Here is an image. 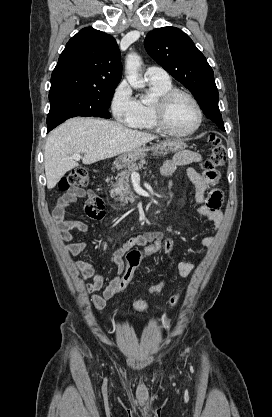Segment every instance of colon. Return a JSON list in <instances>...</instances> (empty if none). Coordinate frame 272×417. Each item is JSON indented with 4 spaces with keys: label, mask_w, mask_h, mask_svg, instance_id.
I'll use <instances>...</instances> for the list:
<instances>
[{
    "label": "colon",
    "mask_w": 272,
    "mask_h": 417,
    "mask_svg": "<svg viewBox=\"0 0 272 417\" xmlns=\"http://www.w3.org/2000/svg\"><path fill=\"white\" fill-rule=\"evenodd\" d=\"M209 142L211 143V154L204 161L203 167L207 171H212L216 167L221 166L226 160V148L222 143L221 139L215 135L209 137ZM89 183V172L85 167H77L73 169L65 178H63L59 187L63 190H67L70 187L83 188L86 187ZM174 248V242L169 237H156L147 241H143L140 244L136 245L126 253V265L124 273L121 276L120 280L116 284L115 293L118 294L125 290V288L132 281L134 274L140 264L147 258L158 254H170ZM171 271V265H168L164 271L163 276L153 283L149 288V293L156 295L162 291L165 286L167 277ZM180 292L173 295L170 300L172 307L177 306L180 300ZM133 307L138 311H145L147 309V304L143 300H137L133 303Z\"/></svg>",
    "instance_id": "colon-1"
}]
</instances>
